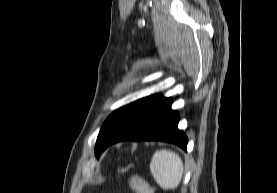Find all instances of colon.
<instances>
[{
	"label": "colon",
	"instance_id": "1",
	"mask_svg": "<svg viewBox=\"0 0 277 193\" xmlns=\"http://www.w3.org/2000/svg\"><path fill=\"white\" fill-rule=\"evenodd\" d=\"M127 183L134 193H154L151 185L137 174L130 175Z\"/></svg>",
	"mask_w": 277,
	"mask_h": 193
}]
</instances>
